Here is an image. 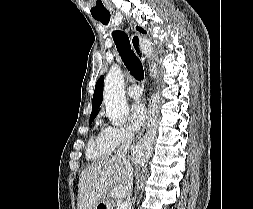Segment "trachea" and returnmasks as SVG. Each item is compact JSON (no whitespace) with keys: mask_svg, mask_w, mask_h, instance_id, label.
Segmentation results:
<instances>
[{"mask_svg":"<svg viewBox=\"0 0 253 209\" xmlns=\"http://www.w3.org/2000/svg\"><path fill=\"white\" fill-rule=\"evenodd\" d=\"M102 24L107 25L110 15L95 17ZM116 48L130 73L138 80L144 79L143 65L134 51L131 49L128 36L123 31H113L112 33ZM138 47V46H137ZM136 47V50H137Z\"/></svg>","mask_w":253,"mask_h":209,"instance_id":"3493384b","label":"trachea"}]
</instances>
